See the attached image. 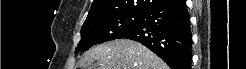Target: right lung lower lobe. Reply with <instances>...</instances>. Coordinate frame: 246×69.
Segmentation results:
<instances>
[{
	"mask_svg": "<svg viewBox=\"0 0 246 69\" xmlns=\"http://www.w3.org/2000/svg\"><path fill=\"white\" fill-rule=\"evenodd\" d=\"M120 38L140 42L172 69H191L192 35L185 0H167L144 11L141 22Z\"/></svg>",
	"mask_w": 246,
	"mask_h": 69,
	"instance_id": "obj_1",
	"label": "right lung lower lobe"
}]
</instances>
